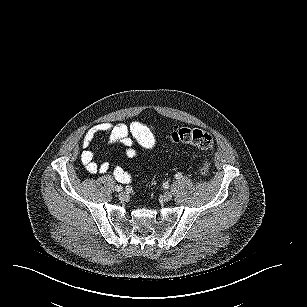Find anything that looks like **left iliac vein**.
<instances>
[{
  "label": "left iliac vein",
  "instance_id": "4c4485c4",
  "mask_svg": "<svg viewBox=\"0 0 307 307\" xmlns=\"http://www.w3.org/2000/svg\"><path fill=\"white\" fill-rule=\"evenodd\" d=\"M163 198H164V200H166V201H170V200L173 198V193L170 192V191H165V192L163 193Z\"/></svg>",
  "mask_w": 307,
  "mask_h": 307
}]
</instances>
